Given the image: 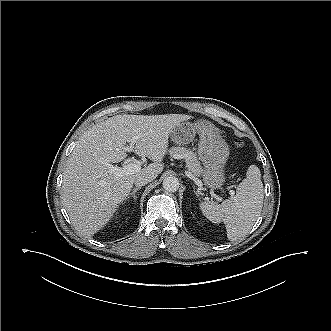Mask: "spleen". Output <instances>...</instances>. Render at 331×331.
Instances as JSON below:
<instances>
[{"label": "spleen", "mask_w": 331, "mask_h": 331, "mask_svg": "<svg viewBox=\"0 0 331 331\" xmlns=\"http://www.w3.org/2000/svg\"><path fill=\"white\" fill-rule=\"evenodd\" d=\"M262 198L263 184L257 175L256 167H252L247 177L237 187L236 196L224 200L221 204L215 201H203L200 203V209L211 222H224L228 238L234 241L250 230L257 218Z\"/></svg>", "instance_id": "1"}]
</instances>
